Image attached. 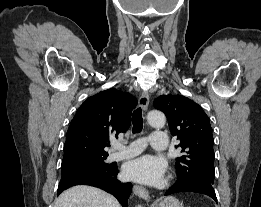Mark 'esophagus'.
<instances>
[{
  "mask_svg": "<svg viewBox=\"0 0 261 207\" xmlns=\"http://www.w3.org/2000/svg\"><path fill=\"white\" fill-rule=\"evenodd\" d=\"M148 105H149V95L147 92H144L141 94V96L138 99V106L141 107L143 112L145 113L148 109ZM133 192L135 195H137L138 197L144 200H149L150 198L149 192L140 185H134Z\"/></svg>",
  "mask_w": 261,
  "mask_h": 207,
  "instance_id": "34e87169",
  "label": "esophagus"
}]
</instances>
